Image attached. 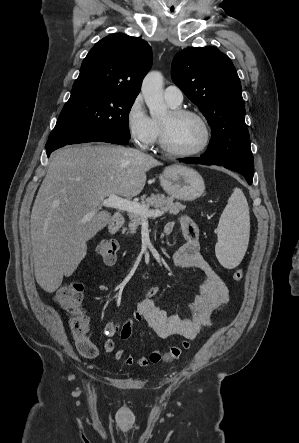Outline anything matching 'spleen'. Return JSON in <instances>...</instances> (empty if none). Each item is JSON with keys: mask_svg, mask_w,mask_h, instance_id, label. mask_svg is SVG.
<instances>
[{"mask_svg": "<svg viewBox=\"0 0 299 443\" xmlns=\"http://www.w3.org/2000/svg\"><path fill=\"white\" fill-rule=\"evenodd\" d=\"M249 207L242 190L235 188L217 228L215 253L220 264L233 269L242 261L249 243Z\"/></svg>", "mask_w": 299, "mask_h": 443, "instance_id": "3e777b00", "label": "spleen"}]
</instances>
